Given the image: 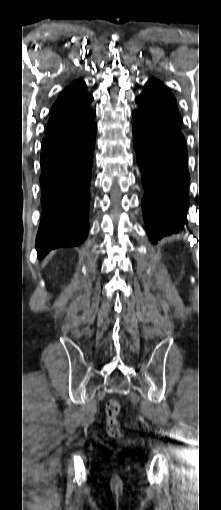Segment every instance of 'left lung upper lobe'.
<instances>
[{"instance_id":"left-lung-upper-lobe-1","label":"left lung upper lobe","mask_w":221,"mask_h":510,"mask_svg":"<svg viewBox=\"0 0 221 510\" xmlns=\"http://www.w3.org/2000/svg\"><path fill=\"white\" fill-rule=\"evenodd\" d=\"M139 109L152 122L171 135L184 139L180 132L181 116L176 99L160 81L150 79L144 91L135 99Z\"/></svg>"}]
</instances>
